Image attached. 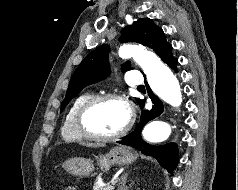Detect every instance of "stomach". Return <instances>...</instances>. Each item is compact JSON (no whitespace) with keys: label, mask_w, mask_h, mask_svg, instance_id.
<instances>
[{"label":"stomach","mask_w":238,"mask_h":190,"mask_svg":"<svg viewBox=\"0 0 238 190\" xmlns=\"http://www.w3.org/2000/svg\"><path fill=\"white\" fill-rule=\"evenodd\" d=\"M137 158V155L132 153L126 147H114L109 153L100 155L97 159V164L103 171L110 169L112 165H124L132 163ZM63 167L72 175L87 177L94 171L93 161L82 157L71 158L67 160Z\"/></svg>","instance_id":"obj_1"}]
</instances>
